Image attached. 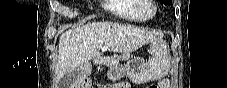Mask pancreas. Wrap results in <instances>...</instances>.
Masks as SVG:
<instances>
[{
  "label": "pancreas",
  "mask_w": 227,
  "mask_h": 88,
  "mask_svg": "<svg viewBox=\"0 0 227 88\" xmlns=\"http://www.w3.org/2000/svg\"><path fill=\"white\" fill-rule=\"evenodd\" d=\"M131 57V55H130V53H127V52H124V53H122V54H120V55H115L114 56V58L116 59V60H123V59H129Z\"/></svg>",
  "instance_id": "cf45deb5"
}]
</instances>
